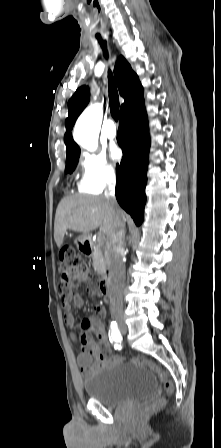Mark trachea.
<instances>
[{"label": "trachea", "mask_w": 221, "mask_h": 448, "mask_svg": "<svg viewBox=\"0 0 221 448\" xmlns=\"http://www.w3.org/2000/svg\"><path fill=\"white\" fill-rule=\"evenodd\" d=\"M97 39L104 50V56L108 58V53L106 50V41H103L100 36H97ZM108 81H109V103H110V112L114 120L118 121L119 115V95L117 91L116 84L113 79L112 72L108 71Z\"/></svg>", "instance_id": "obj_1"}]
</instances>
